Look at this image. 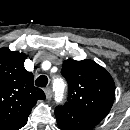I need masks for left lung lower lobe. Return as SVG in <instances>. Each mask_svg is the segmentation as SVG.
Masks as SVG:
<instances>
[{
    "mask_svg": "<svg viewBox=\"0 0 130 130\" xmlns=\"http://www.w3.org/2000/svg\"><path fill=\"white\" fill-rule=\"evenodd\" d=\"M55 116L57 124L62 130H90L100 123L99 120L89 115L64 106L56 107Z\"/></svg>",
    "mask_w": 130,
    "mask_h": 130,
    "instance_id": "0a47b994",
    "label": "left lung lower lobe"
}]
</instances>
